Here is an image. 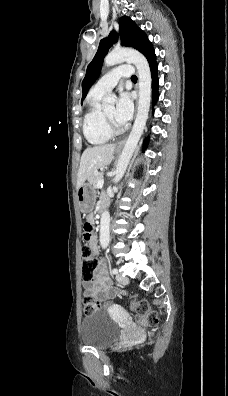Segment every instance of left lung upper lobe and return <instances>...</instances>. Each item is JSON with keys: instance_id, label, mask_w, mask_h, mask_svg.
I'll return each instance as SVG.
<instances>
[{"instance_id": "5c2ea615", "label": "left lung upper lobe", "mask_w": 228, "mask_h": 396, "mask_svg": "<svg viewBox=\"0 0 228 396\" xmlns=\"http://www.w3.org/2000/svg\"><path fill=\"white\" fill-rule=\"evenodd\" d=\"M119 35L121 44L127 47H133L144 54L151 44L146 34L138 28L134 21L127 16L121 17L119 21ZM118 41L116 31H111L107 38L100 41L97 53L87 67L86 75L82 81V100L93 83L100 75L103 59L107 54L110 46Z\"/></svg>"}]
</instances>
